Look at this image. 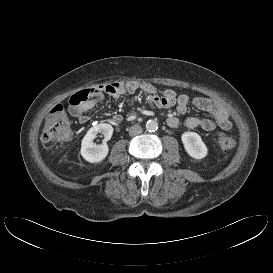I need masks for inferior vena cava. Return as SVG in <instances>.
<instances>
[{"mask_svg":"<svg viewBox=\"0 0 273 273\" xmlns=\"http://www.w3.org/2000/svg\"><path fill=\"white\" fill-rule=\"evenodd\" d=\"M142 131H143L142 127L140 125H138V124H135V125L130 127L129 135L130 136H136V135L141 134Z\"/></svg>","mask_w":273,"mask_h":273,"instance_id":"inferior-vena-cava-1","label":"inferior vena cava"}]
</instances>
